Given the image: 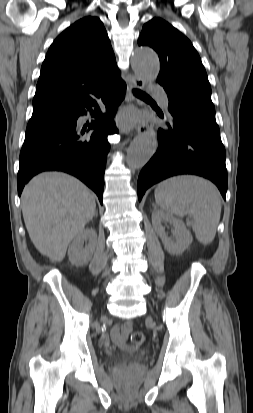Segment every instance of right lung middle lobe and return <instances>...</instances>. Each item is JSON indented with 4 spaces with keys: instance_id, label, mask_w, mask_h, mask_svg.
Masks as SVG:
<instances>
[{
    "instance_id": "1",
    "label": "right lung middle lobe",
    "mask_w": 253,
    "mask_h": 413,
    "mask_svg": "<svg viewBox=\"0 0 253 413\" xmlns=\"http://www.w3.org/2000/svg\"><path fill=\"white\" fill-rule=\"evenodd\" d=\"M69 112L70 111H62L32 116L28 122L25 136H30L58 125L68 118Z\"/></svg>"
}]
</instances>
